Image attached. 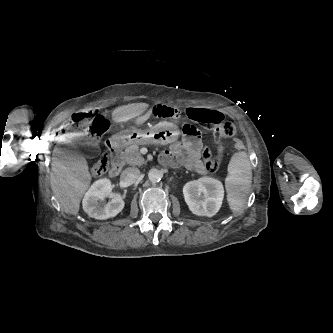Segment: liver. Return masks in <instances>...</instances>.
<instances>
[{"instance_id": "6515ba94", "label": "liver", "mask_w": 333, "mask_h": 333, "mask_svg": "<svg viewBox=\"0 0 333 333\" xmlns=\"http://www.w3.org/2000/svg\"><path fill=\"white\" fill-rule=\"evenodd\" d=\"M147 103H131L117 107L112 112L115 123H125L147 110ZM70 141L65 140V143ZM52 161L51 189L63 210L70 215H77L80 202L89 187L91 175L87 161L78 156L65 154L60 147L54 148Z\"/></svg>"}]
</instances>
